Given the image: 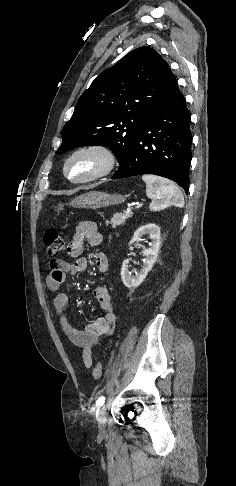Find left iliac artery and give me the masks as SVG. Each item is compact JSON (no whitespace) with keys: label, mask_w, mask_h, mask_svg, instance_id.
<instances>
[{"label":"left iliac artery","mask_w":236,"mask_h":486,"mask_svg":"<svg viewBox=\"0 0 236 486\" xmlns=\"http://www.w3.org/2000/svg\"><path fill=\"white\" fill-rule=\"evenodd\" d=\"M104 401H105L104 396L99 397L98 400L96 401V406L97 407L102 406L104 404Z\"/></svg>","instance_id":"obj_1"}]
</instances>
